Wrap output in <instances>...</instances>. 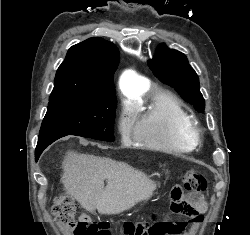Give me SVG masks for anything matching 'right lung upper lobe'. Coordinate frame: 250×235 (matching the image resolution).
I'll use <instances>...</instances> for the list:
<instances>
[{
    "mask_svg": "<svg viewBox=\"0 0 250 235\" xmlns=\"http://www.w3.org/2000/svg\"><path fill=\"white\" fill-rule=\"evenodd\" d=\"M118 62L117 47L102 38H89L72 46L57 70L50 98L115 93L113 73Z\"/></svg>",
    "mask_w": 250,
    "mask_h": 235,
    "instance_id": "1",
    "label": "right lung upper lobe"
}]
</instances>
